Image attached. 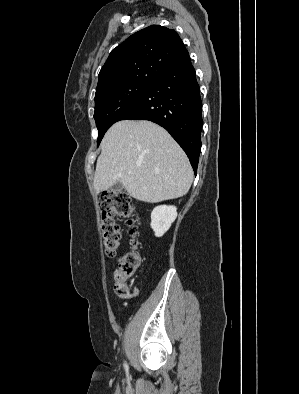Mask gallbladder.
Listing matches in <instances>:
<instances>
[{
  "label": "gallbladder",
  "mask_w": 299,
  "mask_h": 394,
  "mask_svg": "<svg viewBox=\"0 0 299 394\" xmlns=\"http://www.w3.org/2000/svg\"><path fill=\"white\" fill-rule=\"evenodd\" d=\"M111 188L114 192H121L124 189V186L120 181H118L117 183L112 185Z\"/></svg>",
  "instance_id": "gallbladder-1"
}]
</instances>
